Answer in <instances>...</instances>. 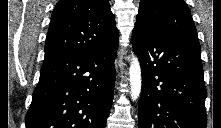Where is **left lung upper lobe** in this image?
<instances>
[{"mask_svg":"<svg viewBox=\"0 0 221 128\" xmlns=\"http://www.w3.org/2000/svg\"><path fill=\"white\" fill-rule=\"evenodd\" d=\"M134 29L168 36L200 51L196 27L183 0H141Z\"/></svg>","mask_w":221,"mask_h":128,"instance_id":"1","label":"left lung upper lobe"}]
</instances>
